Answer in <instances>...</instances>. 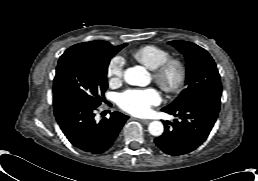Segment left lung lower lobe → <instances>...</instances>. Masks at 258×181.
Segmentation results:
<instances>
[{"mask_svg": "<svg viewBox=\"0 0 258 181\" xmlns=\"http://www.w3.org/2000/svg\"><path fill=\"white\" fill-rule=\"evenodd\" d=\"M220 100L204 99L189 105L162 111L178 116L173 123L163 121L165 131L155 138L156 146L166 154L178 156L199 147L208 137L220 110Z\"/></svg>", "mask_w": 258, "mask_h": 181, "instance_id": "left-lung-lower-lobe-1", "label": "left lung lower lobe"}]
</instances>
